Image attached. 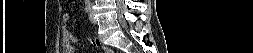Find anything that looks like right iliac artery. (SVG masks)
<instances>
[{
  "label": "right iliac artery",
  "mask_w": 253,
  "mask_h": 53,
  "mask_svg": "<svg viewBox=\"0 0 253 53\" xmlns=\"http://www.w3.org/2000/svg\"><path fill=\"white\" fill-rule=\"evenodd\" d=\"M89 9H90V5H89V3L87 2V3H86V7H85V11L88 12Z\"/></svg>",
  "instance_id": "82829eb1"
}]
</instances>
